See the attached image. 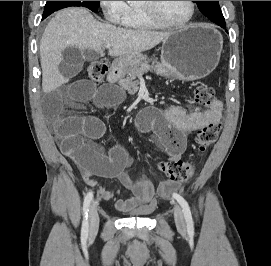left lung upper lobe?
<instances>
[{"instance_id": "obj_1", "label": "left lung upper lobe", "mask_w": 271, "mask_h": 266, "mask_svg": "<svg viewBox=\"0 0 271 266\" xmlns=\"http://www.w3.org/2000/svg\"><path fill=\"white\" fill-rule=\"evenodd\" d=\"M203 15L219 26L225 25V20L218 1H195Z\"/></svg>"}]
</instances>
